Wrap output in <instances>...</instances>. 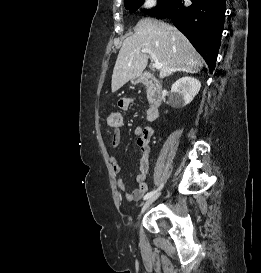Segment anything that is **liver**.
Wrapping results in <instances>:
<instances>
[{"label": "liver", "mask_w": 261, "mask_h": 273, "mask_svg": "<svg viewBox=\"0 0 261 273\" xmlns=\"http://www.w3.org/2000/svg\"><path fill=\"white\" fill-rule=\"evenodd\" d=\"M143 48L150 49L162 63L161 78L176 71L198 73L203 67L201 56L178 29L154 19H141L119 51L112 74L113 93L145 70L148 55L141 52Z\"/></svg>", "instance_id": "6515ba94"}]
</instances>
